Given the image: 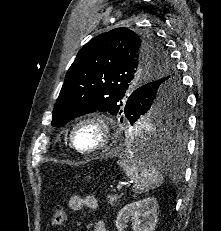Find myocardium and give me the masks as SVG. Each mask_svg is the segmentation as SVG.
Instances as JSON below:
<instances>
[{
  "mask_svg": "<svg viewBox=\"0 0 221 231\" xmlns=\"http://www.w3.org/2000/svg\"><path fill=\"white\" fill-rule=\"evenodd\" d=\"M85 124H95L100 128L101 131V141L100 143L92 149L83 150L79 148L76 144V133L78 129L85 125ZM112 140V128L111 122L108 117L103 114H90L84 116L80 120H78L72 128L70 134V145L71 147L79 154L90 156L101 152L102 150L106 149Z\"/></svg>",
  "mask_w": 221,
  "mask_h": 231,
  "instance_id": "obj_1",
  "label": "myocardium"
}]
</instances>
